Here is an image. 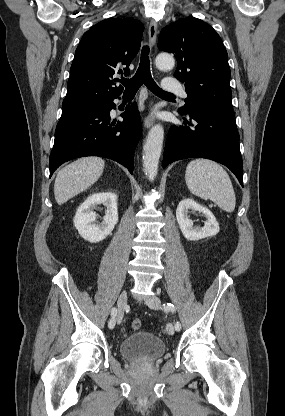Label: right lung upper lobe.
Masks as SVG:
<instances>
[{"label": "right lung upper lobe", "mask_w": 285, "mask_h": 416, "mask_svg": "<svg viewBox=\"0 0 285 416\" xmlns=\"http://www.w3.org/2000/svg\"><path fill=\"white\" fill-rule=\"evenodd\" d=\"M143 29L140 21L127 17L103 20L85 32L71 65L63 104H103L118 98L123 87H112L113 76L129 74Z\"/></svg>", "instance_id": "right-lung-upper-lobe-1"}]
</instances>
